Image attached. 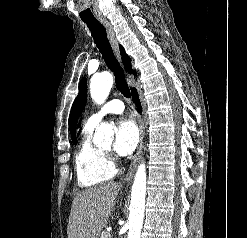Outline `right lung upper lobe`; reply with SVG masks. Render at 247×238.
I'll use <instances>...</instances> for the list:
<instances>
[{"mask_svg":"<svg viewBox=\"0 0 247 238\" xmlns=\"http://www.w3.org/2000/svg\"><path fill=\"white\" fill-rule=\"evenodd\" d=\"M120 52H121V56H122V61L123 64L125 66V69L127 72L134 74L135 71L132 70L131 68V59L130 57L125 53V50L123 49V47L120 45Z\"/></svg>","mask_w":247,"mask_h":238,"instance_id":"right-lung-upper-lobe-1","label":"right lung upper lobe"}]
</instances>
